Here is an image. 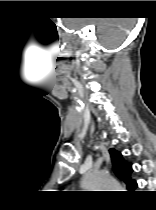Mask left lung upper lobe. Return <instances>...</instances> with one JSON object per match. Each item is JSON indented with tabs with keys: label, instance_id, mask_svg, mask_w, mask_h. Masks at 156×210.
I'll return each mask as SVG.
<instances>
[{
	"label": "left lung upper lobe",
	"instance_id": "left-lung-upper-lobe-1",
	"mask_svg": "<svg viewBox=\"0 0 156 210\" xmlns=\"http://www.w3.org/2000/svg\"><path fill=\"white\" fill-rule=\"evenodd\" d=\"M110 155L113 163V170L118 178L123 180L127 184V188L132 190L137 187L135 180L130 179V174L132 172V165L127 163L120 152L115 149H110Z\"/></svg>",
	"mask_w": 156,
	"mask_h": 210
}]
</instances>
